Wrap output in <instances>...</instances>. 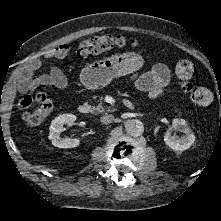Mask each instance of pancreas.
<instances>
[{
	"label": "pancreas",
	"instance_id": "1",
	"mask_svg": "<svg viewBox=\"0 0 221 221\" xmlns=\"http://www.w3.org/2000/svg\"><path fill=\"white\" fill-rule=\"evenodd\" d=\"M111 110L108 108L105 110V108L102 105V99H100L98 105L96 107L91 108V113L98 115V114H103L105 112H110Z\"/></svg>",
	"mask_w": 221,
	"mask_h": 221
}]
</instances>
